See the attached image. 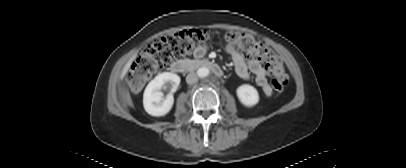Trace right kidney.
I'll return each mask as SVG.
<instances>
[{
  "label": "right kidney",
  "mask_w": 406,
  "mask_h": 168,
  "mask_svg": "<svg viewBox=\"0 0 406 168\" xmlns=\"http://www.w3.org/2000/svg\"><path fill=\"white\" fill-rule=\"evenodd\" d=\"M180 77L177 74L164 72L157 75L146 87L143 95L145 111L156 117L166 115L174 104L173 93L177 90ZM165 84L171 85V92L164 99L160 91Z\"/></svg>",
  "instance_id": "1"
}]
</instances>
